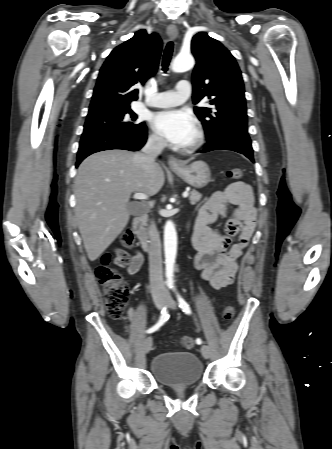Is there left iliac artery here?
Returning a JSON list of instances; mask_svg holds the SVG:
<instances>
[{
    "label": "left iliac artery",
    "instance_id": "left-iliac-artery-1",
    "mask_svg": "<svg viewBox=\"0 0 332 449\" xmlns=\"http://www.w3.org/2000/svg\"><path fill=\"white\" fill-rule=\"evenodd\" d=\"M177 300L179 302V307L182 309V311L186 314H191L190 305L185 301V299L181 297L179 294H177ZM196 343L200 345L202 344V340L200 338H197Z\"/></svg>",
    "mask_w": 332,
    "mask_h": 449
}]
</instances>
